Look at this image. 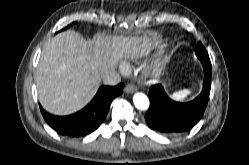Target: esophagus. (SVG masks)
I'll return each instance as SVG.
<instances>
[{
  "label": "esophagus",
  "instance_id": "34e87169",
  "mask_svg": "<svg viewBox=\"0 0 249 165\" xmlns=\"http://www.w3.org/2000/svg\"><path fill=\"white\" fill-rule=\"evenodd\" d=\"M136 90V86L134 85V84H127L126 86H125V88H124V91L126 92V93H132V92H134Z\"/></svg>",
  "mask_w": 249,
  "mask_h": 165
}]
</instances>
